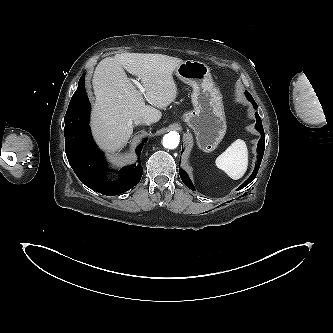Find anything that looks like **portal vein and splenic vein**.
Returning a JSON list of instances; mask_svg holds the SVG:
<instances>
[{
  "label": "portal vein and splenic vein",
  "mask_w": 333,
  "mask_h": 333,
  "mask_svg": "<svg viewBox=\"0 0 333 333\" xmlns=\"http://www.w3.org/2000/svg\"><path fill=\"white\" fill-rule=\"evenodd\" d=\"M133 82H134V84L139 88L140 92H141L142 94H144L145 91H146V89H145V88L139 83V81H138V80H133Z\"/></svg>",
  "instance_id": "portal-vein-and-splenic-vein-1"
}]
</instances>
